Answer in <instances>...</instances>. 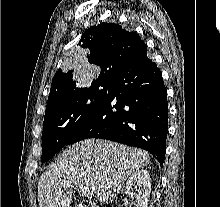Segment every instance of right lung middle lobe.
Listing matches in <instances>:
<instances>
[{
	"label": "right lung middle lobe",
	"instance_id": "right-lung-middle-lobe-1",
	"mask_svg": "<svg viewBox=\"0 0 220 207\" xmlns=\"http://www.w3.org/2000/svg\"><path fill=\"white\" fill-rule=\"evenodd\" d=\"M108 84L81 87L46 106L43 122L42 162L68 145L71 135L102 105Z\"/></svg>",
	"mask_w": 220,
	"mask_h": 207
}]
</instances>
